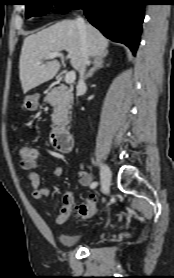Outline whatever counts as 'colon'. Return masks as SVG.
Here are the masks:
<instances>
[{
	"instance_id": "obj_1",
	"label": "colon",
	"mask_w": 174,
	"mask_h": 278,
	"mask_svg": "<svg viewBox=\"0 0 174 278\" xmlns=\"http://www.w3.org/2000/svg\"><path fill=\"white\" fill-rule=\"evenodd\" d=\"M38 154L39 153L35 148L22 147L19 149V155L22 160L34 159L38 156ZM96 207V199L93 197L88 198L84 203L75 208L74 215L77 218H87L95 213Z\"/></svg>"
}]
</instances>
